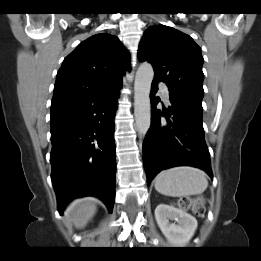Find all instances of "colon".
Listing matches in <instances>:
<instances>
[{
    "instance_id": "colon-1",
    "label": "colon",
    "mask_w": 261,
    "mask_h": 261,
    "mask_svg": "<svg viewBox=\"0 0 261 261\" xmlns=\"http://www.w3.org/2000/svg\"><path fill=\"white\" fill-rule=\"evenodd\" d=\"M178 205L183 209L191 208L198 216H202L205 212V199L202 196L195 199L183 197L178 201Z\"/></svg>"
}]
</instances>
